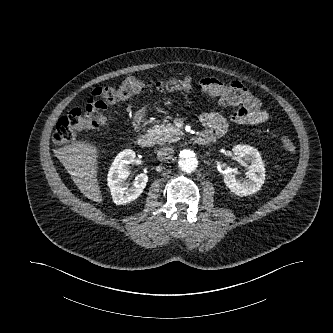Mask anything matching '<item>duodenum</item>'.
I'll use <instances>...</instances> for the list:
<instances>
[{
    "label": "duodenum",
    "mask_w": 333,
    "mask_h": 333,
    "mask_svg": "<svg viewBox=\"0 0 333 333\" xmlns=\"http://www.w3.org/2000/svg\"><path fill=\"white\" fill-rule=\"evenodd\" d=\"M135 137L137 144L141 147H151L154 143V137L149 133L137 131ZM212 139L213 137L211 134H209L208 132H202L197 136L196 142L200 145H206L210 143Z\"/></svg>",
    "instance_id": "410a0bca"
}]
</instances>
